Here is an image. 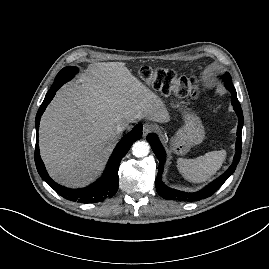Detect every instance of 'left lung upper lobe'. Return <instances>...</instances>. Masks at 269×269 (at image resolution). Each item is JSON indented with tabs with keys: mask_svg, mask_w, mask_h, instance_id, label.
<instances>
[{
	"mask_svg": "<svg viewBox=\"0 0 269 269\" xmlns=\"http://www.w3.org/2000/svg\"><path fill=\"white\" fill-rule=\"evenodd\" d=\"M224 83H225V84L232 83L231 76H230L228 73H226V74L224 75Z\"/></svg>",
	"mask_w": 269,
	"mask_h": 269,
	"instance_id": "1",
	"label": "left lung upper lobe"
}]
</instances>
